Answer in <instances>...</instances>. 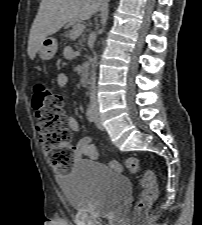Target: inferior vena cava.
I'll list each match as a JSON object with an SVG mask.
<instances>
[{
  "label": "inferior vena cava",
  "mask_w": 202,
  "mask_h": 225,
  "mask_svg": "<svg viewBox=\"0 0 202 225\" xmlns=\"http://www.w3.org/2000/svg\"><path fill=\"white\" fill-rule=\"evenodd\" d=\"M94 64H93V69H94ZM90 102L91 105L96 107L97 106V99H96V86H95V73L94 70L92 71V76H91V87H90Z\"/></svg>",
  "instance_id": "1"
}]
</instances>
